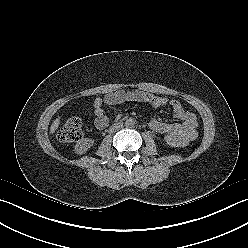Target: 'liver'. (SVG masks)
<instances>
[{
    "mask_svg": "<svg viewBox=\"0 0 248 248\" xmlns=\"http://www.w3.org/2000/svg\"><path fill=\"white\" fill-rule=\"evenodd\" d=\"M60 125V117L56 118L50 126V133L53 134Z\"/></svg>",
    "mask_w": 248,
    "mask_h": 248,
    "instance_id": "6515ba94",
    "label": "liver"
}]
</instances>
